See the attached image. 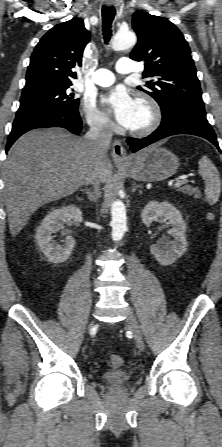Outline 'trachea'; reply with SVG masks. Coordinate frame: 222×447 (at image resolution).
<instances>
[{
  "mask_svg": "<svg viewBox=\"0 0 222 447\" xmlns=\"http://www.w3.org/2000/svg\"><path fill=\"white\" fill-rule=\"evenodd\" d=\"M116 11L113 7L103 6L102 8V20H103V38L105 43H108L111 35V24L115 17Z\"/></svg>",
  "mask_w": 222,
  "mask_h": 447,
  "instance_id": "obj_1",
  "label": "trachea"
}]
</instances>
